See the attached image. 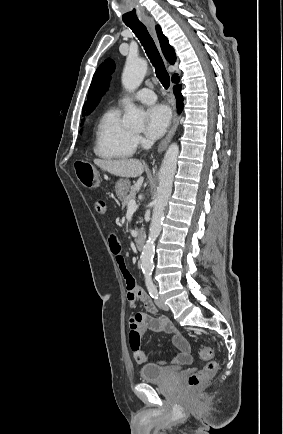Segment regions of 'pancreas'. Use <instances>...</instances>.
Returning <instances> with one entry per match:
<instances>
[{
	"label": "pancreas",
	"mask_w": 283,
	"mask_h": 434,
	"mask_svg": "<svg viewBox=\"0 0 283 434\" xmlns=\"http://www.w3.org/2000/svg\"><path fill=\"white\" fill-rule=\"evenodd\" d=\"M136 195V188L133 186L131 187L130 193L122 200V208L128 207V204L131 200L135 199Z\"/></svg>",
	"instance_id": "1"
}]
</instances>
